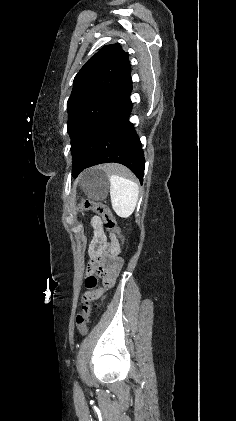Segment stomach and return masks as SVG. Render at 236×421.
I'll use <instances>...</instances> for the list:
<instances>
[{
  "label": "stomach",
  "mask_w": 236,
  "mask_h": 421,
  "mask_svg": "<svg viewBox=\"0 0 236 421\" xmlns=\"http://www.w3.org/2000/svg\"><path fill=\"white\" fill-rule=\"evenodd\" d=\"M110 176L106 174L105 170L94 166L85 170L80 180L81 186L86 192L88 198L92 200H104L107 196Z\"/></svg>",
  "instance_id": "0dacf381"
}]
</instances>
